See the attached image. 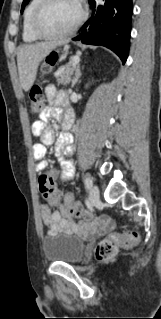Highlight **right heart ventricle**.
<instances>
[{"label": "right heart ventricle", "mask_w": 161, "mask_h": 319, "mask_svg": "<svg viewBox=\"0 0 161 319\" xmlns=\"http://www.w3.org/2000/svg\"><path fill=\"white\" fill-rule=\"evenodd\" d=\"M39 2L40 0H31L25 9L22 27V39L25 42H32L38 39L31 30V20Z\"/></svg>", "instance_id": "right-heart-ventricle-1"}]
</instances>
